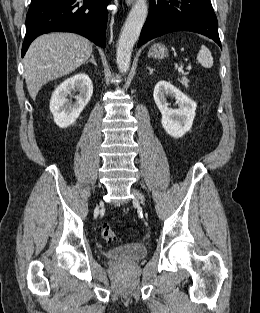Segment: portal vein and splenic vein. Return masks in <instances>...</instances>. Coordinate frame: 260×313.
<instances>
[{
  "instance_id": "obj_1",
  "label": "portal vein and splenic vein",
  "mask_w": 260,
  "mask_h": 313,
  "mask_svg": "<svg viewBox=\"0 0 260 313\" xmlns=\"http://www.w3.org/2000/svg\"><path fill=\"white\" fill-rule=\"evenodd\" d=\"M188 70H191V66H188ZM178 72L184 74V71L182 69H178Z\"/></svg>"
}]
</instances>
